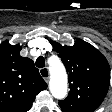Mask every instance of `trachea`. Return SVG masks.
<instances>
[{"instance_id": "trachea-1", "label": "trachea", "mask_w": 112, "mask_h": 112, "mask_svg": "<svg viewBox=\"0 0 112 112\" xmlns=\"http://www.w3.org/2000/svg\"><path fill=\"white\" fill-rule=\"evenodd\" d=\"M36 66L38 67V68H43V67H45V59L43 58V57H38L37 59H36Z\"/></svg>"}]
</instances>
